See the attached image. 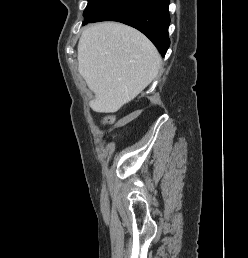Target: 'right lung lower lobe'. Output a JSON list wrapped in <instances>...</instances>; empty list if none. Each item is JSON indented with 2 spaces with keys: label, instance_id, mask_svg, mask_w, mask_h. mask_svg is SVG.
Wrapping results in <instances>:
<instances>
[{
  "label": "right lung lower lobe",
  "instance_id": "1",
  "mask_svg": "<svg viewBox=\"0 0 248 258\" xmlns=\"http://www.w3.org/2000/svg\"><path fill=\"white\" fill-rule=\"evenodd\" d=\"M169 0H116L100 15L83 24L99 21H118L145 34L164 57L170 45L168 27Z\"/></svg>",
  "mask_w": 248,
  "mask_h": 258
}]
</instances>
